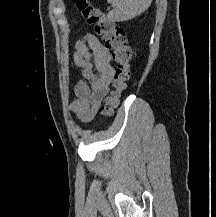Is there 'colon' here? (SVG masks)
Returning <instances> with one entry per match:
<instances>
[{
    "mask_svg": "<svg viewBox=\"0 0 216 217\" xmlns=\"http://www.w3.org/2000/svg\"><path fill=\"white\" fill-rule=\"evenodd\" d=\"M74 1L83 19L94 27L103 38L106 47L113 51V59L116 62L113 90L100 108L101 114L108 116L118 105L126 83L130 79L131 48L124 29L112 22L91 0Z\"/></svg>",
    "mask_w": 216,
    "mask_h": 217,
    "instance_id": "5ec220e1",
    "label": "colon"
}]
</instances>
